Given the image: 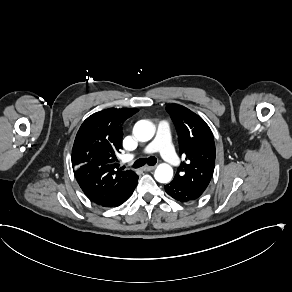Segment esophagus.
I'll list each match as a JSON object with an SVG mask.
<instances>
[{"instance_id": "1", "label": "esophagus", "mask_w": 292, "mask_h": 292, "mask_svg": "<svg viewBox=\"0 0 292 292\" xmlns=\"http://www.w3.org/2000/svg\"><path fill=\"white\" fill-rule=\"evenodd\" d=\"M156 167L155 166H144L142 168L143 171L148 172L154 170Z\"/></svg>"}]
</instances>
